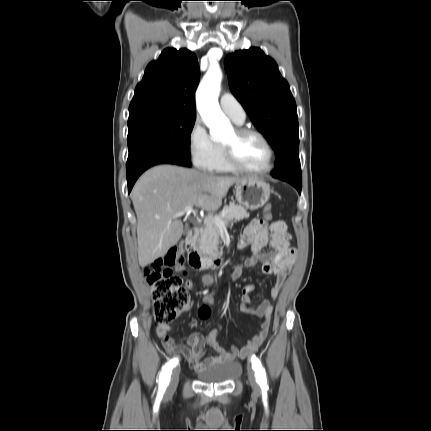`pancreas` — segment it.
<instances>
[{
	"label": "pancreas",
	"mask_w": 431,
	"mask_h": 431,
	"mask_svg": "<svg viewBox=\"0 0 431 431\" xmlns=\"http://www.w3.org/2000/svg\"><path fill=\"white\" fill-rule=\"evenodd\" d=\"M212 217V216H209ZM249 217V213L247 210L241 205L235 204L234 202L229 203L228 206H225L222 211L215 215L213 218H218L221 221L225 222V226L228 222L232 221H240L243 219H247ZM208 218V217H207ZM220 244V227L215 224V222L211 219L204 221V226L201 230V238H200V248L201 250L208 255L220 254L219 251Z\"/></svg>",
	"instance_id": "cf45deb5"
}]
</instances>
